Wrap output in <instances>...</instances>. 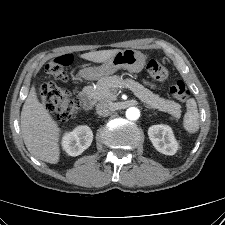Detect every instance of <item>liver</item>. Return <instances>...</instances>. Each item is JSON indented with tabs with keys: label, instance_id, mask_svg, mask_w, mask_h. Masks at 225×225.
Returning a JSON list of instances; mask_svg holds the SVG:
<instances>
[{
	"label": "liver",
	"instance_id": "6515ba94",
	"mask_svg": "<svg viewBox=\"0 0 225 225\" xmlns=\"http://www.w3.org/2000/svg\"><path fill=\"white\" fill-rule=\"evenodd\" d=\"M119 49L88 52L81 58L102 63L115 55ZM21 133L28 151L37 159L56 164L60 157V128L46 107L37 98L33 85L21 111Z\"/></svg>",
	"mask_w": 225,
	"mask_h": 225
}]
</instances>
